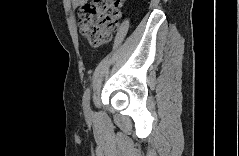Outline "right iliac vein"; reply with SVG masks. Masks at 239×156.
<instances>
[{
  "mask_svg": "<svg viewBox=\"0 0 239 156\" xmlns=\"http://www.w3.org/2000/svg\"><path fill=\"white\" fill-rule=\"evenodd\" d=\"M87 113H90V108H89V110H88V112Z\"/></svg>",
  "mask_w": 239,
  "mask_h": 156,
  "instance_id": "right-iliac-vein-1",
  "label": "right iliac vein"
}]
</instances>
